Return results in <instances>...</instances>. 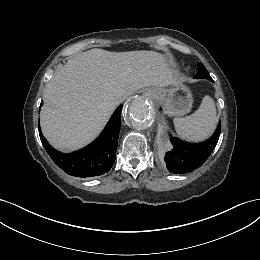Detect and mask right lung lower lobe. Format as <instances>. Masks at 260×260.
Returning a JSON list of instances; mask_svg holds the SVG:
<instances>
[{
  "label": "right lung lower lobe",
  "mask_w": 260,
  "mask_h": 260,
  "mask_svg": "<svg viewBox=\"0 0 260 260\" xmlns=\"http://www.w3.org/2000/svg\"><path fill=\"white\" fill-rule=\"evenodd\" d=\"M121 110L122 105L115 110L96 140L74 153L63 154L56 151L43 137L39 127L40 139L54 163L67 174L77 177L100 176L108 172L115 161Z\"/></svg>",
  "instance_id": "1"
}]
</instances>
